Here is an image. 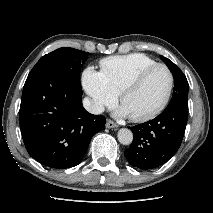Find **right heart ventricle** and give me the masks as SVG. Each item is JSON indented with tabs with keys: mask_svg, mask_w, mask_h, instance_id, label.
<instances>
[{
	"mask_svg": "<svg viewBox=\"0 0 213 213\" xmlns=\"http://www.w3.org/2000/svg\"><path fill=\"white\" fill-rule=\"evenodd\" d=\"M155 64L158 63L153 58L141 53L110 56L100 61V72L111 91L118 95L138 72Z\"/></svg>",
	"mask_w": 213,
	"mask_h": 213,
	"instance_id": "obj_1",
	"label": "right heart ventricle"
}]
</instances>
